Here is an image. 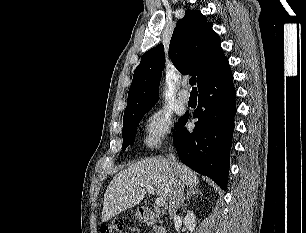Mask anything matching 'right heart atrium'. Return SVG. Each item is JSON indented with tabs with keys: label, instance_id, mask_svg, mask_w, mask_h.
<instances>
[{
	"label": "right heart atrium",
	"instance_id": "right-heart-atrium-1",
	"mask_svg": "<svg viewBox=\"0 0 306 233\" xmlns=\"http://www.w3.org/2000/svg\"><path fill=\"white\" fill-rule=\"evenodd\" d=\"M173 118L165 109H157L150 113L144 123V144L154 150L160 148L169 138Z\"/></svg>",
	"mask_w": 306,
	"mask_h": 233
}]
</instances>
